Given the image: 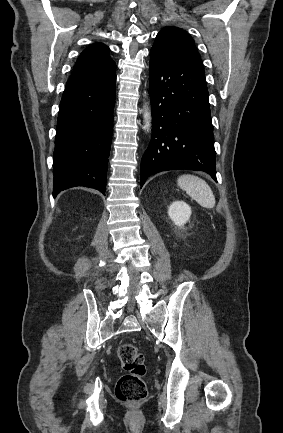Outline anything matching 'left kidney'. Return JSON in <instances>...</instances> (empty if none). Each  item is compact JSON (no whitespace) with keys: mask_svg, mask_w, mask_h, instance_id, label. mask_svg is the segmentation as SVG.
<instances>
[{"mask_svg":"<svg viewBox=\"0 0 283 433\" xmlns=\"http://www.w3.org/2000/svg\"><path fill=\"white\" fill-rule=\"evenodd\" d=\"M191 207L183 201H175L168 208L170 219L178 227H182L191 216Z\"/></svg>","mask_w":283,"mask_h":433,"instance_id":"left-kidney-1","label":"left kidney"}]
</instances>
